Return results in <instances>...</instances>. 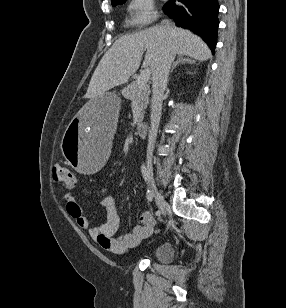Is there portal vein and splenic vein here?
<instances>
[{
    "mask_svg": "<svg viewBox=\"0 0 286 308\" xmlns=\"http://www.w3.org/2000/svg\"><path fill=\"white\" fill-rule=\"evenodd\" d=\"M150 78V69L145 68L141 71L137 81L140 86L147 84L148 80Z\"/></svg>",
    "mask_w": 286,
    "mask_h": 308,
    "instance_id": "1",
    "label": "portal vein and splenic vein"
}]
</instances>
